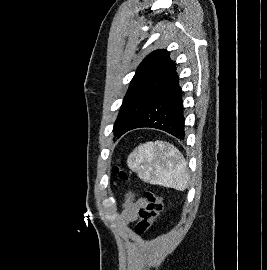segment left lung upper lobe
I'll list each match as a JSON object with an SVG mask.
<instances>
[{
    "instance_id": "obj_1",
    "label": "left lung upper lobe",
    "mask_w": 267,
    "mask_h": 270,
    "mask_svg": "<svg viewBox=\"0 0 267 270\" xmlns=\"http://www.w3.org/2000/svg\"><path fill=\"white\" fill-rule=\"evenodd\" d=\"M175 72L166 50H156L144 58L131 80L113 131L121 136L158 97Z\"/></svg>"
}]
</instances>
